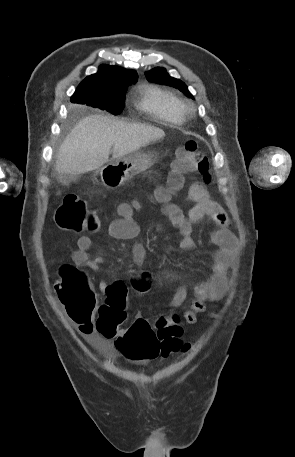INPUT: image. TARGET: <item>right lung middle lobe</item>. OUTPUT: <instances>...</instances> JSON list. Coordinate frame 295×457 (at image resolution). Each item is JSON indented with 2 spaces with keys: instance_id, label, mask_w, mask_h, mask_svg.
<instances>
[{
  "instance_id": "dd1d6c3e",
  "label": "right lung middle lobe",
  "mask_w": 295,
  "mask_h": 457,
  "mask_svg": "<svg viewBox=\"0 0 295 457\" xmlns=\"http://www.w3.org/2000/svg\"><path fill=\"white\" fill-rule=\"evenodd\" d=\"M126 91L127 87L110 91L78 87L71 97V102L105 109L118 115L124 109Z\"/></svg>"
}]
</instances>
